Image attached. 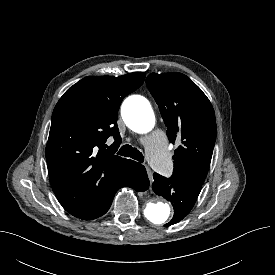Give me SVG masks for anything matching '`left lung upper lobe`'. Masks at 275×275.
Here are the masks:
<instances>
[{
	"label": "left lung upper lobe",
	"mask_w": 275,
	"mask_h": 275,
	"mask_svg": "<svg viewBox=\"0 0 275 275\" xmlns=\"http://www.w3.org/2000/svg\"><path fill=\"white\" fill-rule=\"evenodd\" d=\"M175 150L174 177L203 184L216 139L214 109L202 90L181 73H151L146 79Z\"/></svg>",
	"instance_id": "5c2ea615"
}]
</instances>
